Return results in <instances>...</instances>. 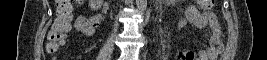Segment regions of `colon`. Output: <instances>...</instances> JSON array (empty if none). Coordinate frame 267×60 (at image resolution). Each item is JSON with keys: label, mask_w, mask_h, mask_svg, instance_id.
<instances>
[{"label": "colon", "mask_w": 267, "mask_h": 60, "mask_svg": "<svg viewBox=\"0 0 267 60\" xmlns=\"http://www.w3.org/2000/svg\"><path fill=\"white\" fill-rule=\"evenodd\" d=\"M72 0H57L56 1V17L51 27V31L48 35L47 51L50 54L55 55L54 59H57V53L60 46L64 42L66 34L69 32L72 26L73 19V6ZM80 2V1H76ZM215 0H200L199 3L204 9H209ZM86 27H89L86 25Z\"/></svg>", "instance_id": "obj_1"}]
</instances>
